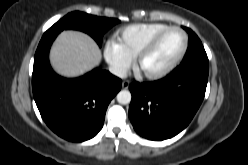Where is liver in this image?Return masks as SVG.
Instances as JSON below:
<instances>
[{"label": "liver", "instance_id": "liver-1", "mask_svg": "<svg viewBox=\"0 0 248 165\" xmlns=\"http://www.w3.org/2000/svg\"><path fill=\"white\" fill-rule=\"evenodd\" d=\"M101 50L87 34L68 30L60 33L50 51L53 69L64 77H78L98 66Z\"/></svg>", "mask_w": 248, "mask_h": 165}]
</instances>
